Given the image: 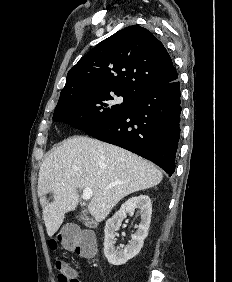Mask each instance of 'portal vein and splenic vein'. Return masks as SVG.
<instances>
[{"label": "portal vein and splenic vein", "instance_id": "obj_1", "mask_svg": "<svg viewBox=\"0 0 232 282\" xmlns=\"http://www.w3.org/2000/svg\"><path fill=\"white\" fill-rule=\"evenodd\" d=\"M93 196V191L91 188L87 187L83 189V193L81 195V198L83 200H89Z\"/></svg>", "mask_w": 232, "mask_h": 282}]
</instances>
